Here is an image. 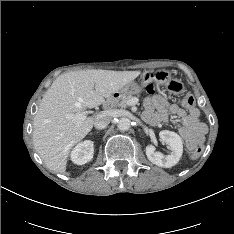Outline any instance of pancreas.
Segmentation results:
<instances>
[{
    "label": "pancreas",
    "instance_id": "pancreas-1",
    "mask_svg": "<svg viewBox=\"0 0 234 234\" xmlns=\"http://www.w3.org/2000/svg\"><path fill=\"white\" fill-rule=\"evenodd\" d=\"M132 98H133L132 95L122 96L119 100H116L108 104V108H115V107L126 108L128 106V102Z\"/></svg>",
    "mask_w": 234,
    "mask_h": 234
}]
</instances>
